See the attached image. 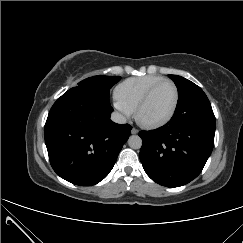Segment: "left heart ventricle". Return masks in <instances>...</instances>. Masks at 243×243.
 I'll return each mask as SVG.
<instances>
[{"mask_svg":"<svg viewBox=\"0 0 243 243\" xmlns=\"http://www.w3.org/2000/svg\"><path fill=\"white\" fill-rule=\"evenodd\" d=\"M175 94L172 85H161L150 97L149 101L140 113V119L144 122H157L168 116L173 104Z\"/></svg>","mask_w":243,"mask_h":243,"instance_id":"left-heart-ventricle-1","label":"left heart ventricle"}]
</instances>
